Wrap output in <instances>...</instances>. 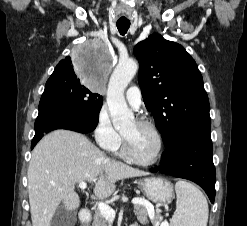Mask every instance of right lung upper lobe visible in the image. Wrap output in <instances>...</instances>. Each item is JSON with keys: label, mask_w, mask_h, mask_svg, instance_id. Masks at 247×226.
Here are the masks:
<instances>
[{"label": "right lung upper lobe", "mask_w": 247, "mask_h": 226, "mask_svg": "<svg viewBox=\"0 0 247 226\" xmlns=\"http://www.w3.org/2000/svg\"><path fill=\"white\" fill-rule=\"evenodd\" d=\"M70 63V57H66L64 60H61L55 69H59L62 66H65Z\"/></svg>", "instance_id": "right-lung-upper-lobe-1"}]
</instances>
